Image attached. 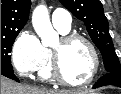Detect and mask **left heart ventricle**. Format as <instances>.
Wrapping results in <instances>:
<instances>
[{
    "label": "left heart ventricle",
    "instance_id": "b2bd125f",
    "mask_svg": "<svg viewBox=\"0 0 121 94\" xmlns=\"http://www.w3.org/2000/svg\"><path fill=\"white\" fill-rule=\"evenodd\" d=\"M53 48L60 51L62 70L68 80L79 83L90 76L93 60L84 42L76 40L63 45L59 40Z\"/></svg>",
    "mask_w": 121,
    "mask_h": 94
}]
</instances>
